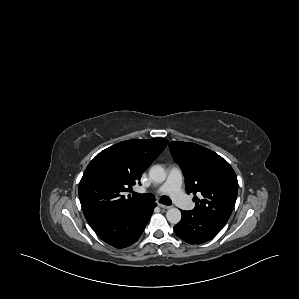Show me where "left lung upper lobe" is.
<instances>
[{"label":"left lung upper lobe","mask_w":299,"mask_h":299,"mask_svg":"<svg viewBox=\"0 0 299 299\" xmlns=\"http://www.w3.org/2000/svg\"><path fill=\"white\" fill-rule=\"evenodd\" d=\"M169 148L184 174L186 192L200 195L193 209L222 228L237 198L238 181L229 163L215 152L195 143L171 142Z\"/></svg>","instance_id":"1"}]
</instances>
